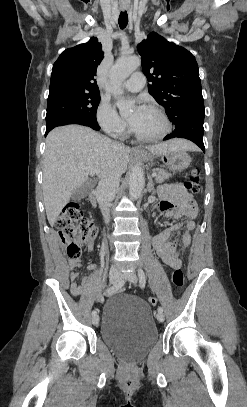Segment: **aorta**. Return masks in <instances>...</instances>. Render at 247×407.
<instances>
[{
  "label": "aorta",
  "instance_id": "aorta-1",
  "mask_svg": "<svg viewBox=\"0 0 247 407\" xmlns=\"http://www.w3.org/2000/svg\"><path fill=\"white\" fill-rule=\"evenodd\" d=\"M141 64L137 56L120 57L110 70V85L108 92L113 96H120L123 91L121 83L127 79ZM120 112H129L130 107L120 104ZM144 172L139 164L134 165L129 173V193L133 200H137L144 187Z\"/></svg>",
  "mask_w": 247,
  "mask_h": 407
}]
</instances>
